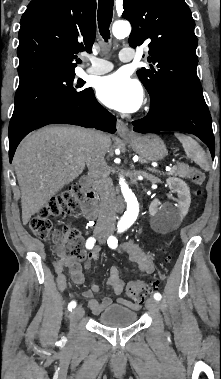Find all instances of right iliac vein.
Listing matches in <instances>:
<instances>
[{
    "label": "right iliac vein",
    "instance_id": "right-iliac-vein-1",
    "mask_svg": "<svg viewBox=\"0 0 221 379\" xmlns=\"http://www.w3.org/2000/svg\"><path fill=\"white\" fill-rule=\"evenodd\" d=\"M84 314V310L81 306L75 308L70 314L71 325H74Z\"/></svg>",
    "mask_w": 221,
    "mask_h": 379
}]
</instances>
